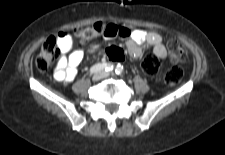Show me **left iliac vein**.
<instances>
[{
	"label": "left iliac vein",
	"instance_id": "4c4485c4",
	"mask_svg": "<svg viewBox=\"0 0 225 155\" xmlns=\"http://www.w3.org/2000/svg\"><path fill=\"white\" fill-rule=\"evenodd\" d=\"M102 74H103V78L108 77L110 75L109 72H102Z\"/></svg>",
	"mask_w": 225,
	"mask_h": 155
}]
</instances>
